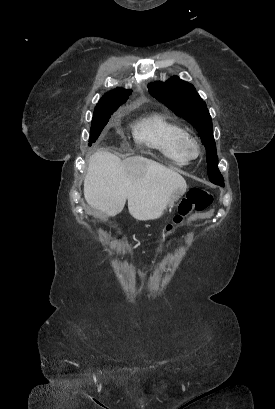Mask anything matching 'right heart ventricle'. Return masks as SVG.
Returning a JSON list of instances; mask_svg holds the SVG:
<instances>
[{"mask_svg":"<svg viewBox=\"0 0 275 409\" xmlns=\"http://www.w3.org/2000/svg\"><path fill=\"white\" fill-rule=\"evenodd\" d=\"M134 137L146 147L163 157H179L176 151L178 140L186 131L162 114H153L134 127Z\"/></svg>","mask_w":275,"mask_h":409,"instance_id":"obj_1","label":"right heart ventricle"}]
</instances>
